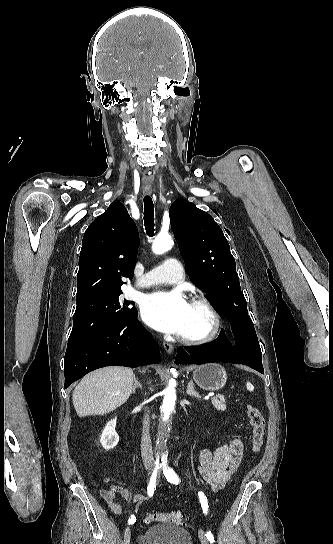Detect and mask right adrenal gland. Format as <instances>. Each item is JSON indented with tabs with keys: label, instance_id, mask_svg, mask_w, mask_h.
<instances>
[{
	"label": "right adrenal gland",
	"instance_id": "right-adrenal-gland-1",
	"mask_svg": "<svg viewBox=\"0 0 333 544\" xmlns=\"http://www.w3.org/2000/svg\"><path fill=\"white\" fill-rule=\"evenodd\" d=\"M136 388H142L141 384L138 382L136 376L134 375V386L132 387V394L135 393Z\"/></svg>",
	"mask_w": 333,
	"mask_h": 544
}]
</instances>
